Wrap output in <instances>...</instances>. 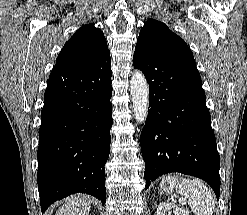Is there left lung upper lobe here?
<instances>
[{"label": "left lung upper lobe", "instance_id": "left-lung-upper-lobe-1", "mask_svg": "<svg viewBox=\"0 0 247 215\" xmlns=\"http://www.w3.org/2000/svg\"><path fill=\"white\" fill-rule=\"evenodd\" d=\"M137 45H142L160 56L195 63L187 44L166 24L149 19L141 28Z\"/></svg>", "mask_w": 247, "mask_h": 215}]
</instances>
